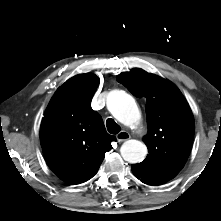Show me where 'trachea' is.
Here are the masks:
<instances>
[{"mask_svg":"<svg viewBox=\"0 0 221 221\" xmlns=\"http://www.w3.org/2000/svg\"><path fill=\"white\" fill-rule=\"evenodd\" d=\"M107 130L111 134H117L120 132V126L112 119L108 118L106 121Z\"/></svg>","mask_w":221,"mask_h":221,"instance_id":"obj_1","label":"trachea"}]
</instances>
